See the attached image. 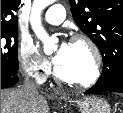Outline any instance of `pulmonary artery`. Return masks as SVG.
Wrapping results in <instances>:
<instances>
[{
  "instance_id": "e3ab8cb5",
  "label": "pulmonary artery",
  "mask_w": 123,
  "mask_h": 113,
  "mask_svg": "<svg viewBox=\"0 0 123 113\" xmlns=\"http://www.w3.org/2000/svg\"><path fill=\"white\" fill-rule=\"evenodd\" d=\"M66 16L65 9L60 4L51 5L44 14V20L50 24H60Z\"/></svg>"
}]
</instances>
